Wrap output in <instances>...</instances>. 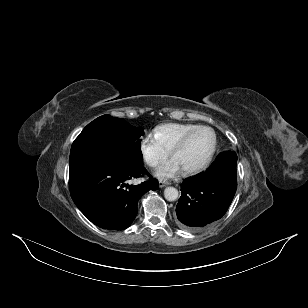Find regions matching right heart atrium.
I'll list each match as a JSON object with an SVG mask.
<instances>
[{"mask_svg": "<svg viewBox=\"0 0 308 308\" xmlns=\"http://www.w3.org/2000/svg\"><path fill=\"white\" fill-rule=\"evenodd\" d=\"M138 150L144 163L151 168L158 166L169 156V152L151 134H147L140 139Z\"/></svg>", "mask_w": 308, "mask_h": 308, "instance_id": "right-heart-atrium-1", "label": "right heart atrium"}]
</instances>
